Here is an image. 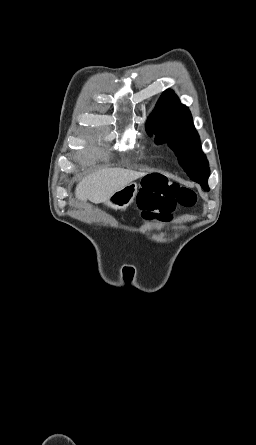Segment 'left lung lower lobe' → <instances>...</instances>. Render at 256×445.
Instances as JSON below:
<instances>
[{
    "instance_id": "obj_1",
    "label": "left lung lower lobe",
    "mask_w": 256,
    "mask_h": 445,
    "mask_svg": "<svg viewBox=\"0 0 256 445\" xmlns=\"http://www.w3.org/2000/svg\"><path fill=\"white\" fill-rule=\"evenodd\" d=\"M205 190H209L208 185H207V181L206 182H198Z\"/></svg>"
}]
</instances>
